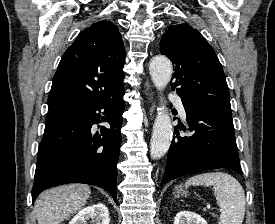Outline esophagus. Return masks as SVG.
<instances>
[{
  "label": "esophagus",
  "mask_w": 275,
  "mask_h": 224,
  "mask_svg": "<svg viewBox=\"0 0 275 224\" xmlns=\"http://www.w3.org/2000/svg\"><path fill=\"white\" fill-rule=\"evenodd\" d=\"M145 93H146V95H148V94H149V92H148V84H146V90H145Z\"/></svg>",
  "instance_id": "34e87169"
}]
</instances>
